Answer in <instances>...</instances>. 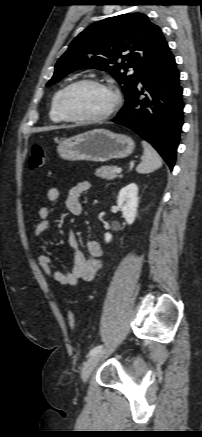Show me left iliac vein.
<instances>
[{"label": "left iliac vein", "instance_id": "4c4485c4", "mask_svg": "<svg viewBox=\"0 0 202 437\" xmlns=\"http://www.w3.org/2000/svg\"><path fill=\"white\" fill-rule=\"evenodd\" d=\"M103 352L99 351L98 353L92 355L84 364L83 369H82V379L84 382H86L88 380V378L90 377L91 373L93 372V370L95 369V367L97 366L98 362L100 361V358L102 357Z\"/></svg>", "mask_w": 202, "mask_h": 437}]
</instances>
